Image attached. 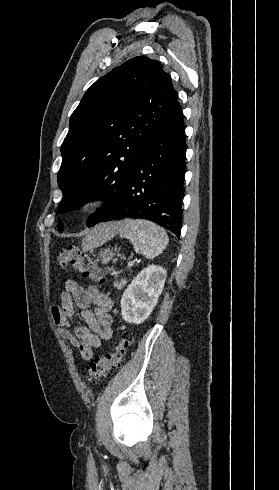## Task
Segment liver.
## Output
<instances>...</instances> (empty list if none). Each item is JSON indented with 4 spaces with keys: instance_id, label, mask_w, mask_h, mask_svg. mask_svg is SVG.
Masks as SVG:
<instances>
[{
    "instance_id": "6515ba94",
    "label": "liver",
    "mask_w": 279,
    "mask_h": 490,
    "mask_svg": "<svg viewBox=\"0 0 279 490\" xmlns=\"http://www.w3.org/2000/svg\"><path fill=\"white\" fill-rule=\"evenodd\" d=\"M120 226L121 222H108V224H100V226H95L93 230H89V234L84 238L82 244L83 252L96 248V246H99L100 240L107 238V236L113 238L119 232Z\"/></svg>"
}]
</instances>
